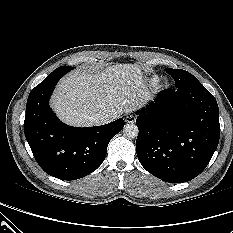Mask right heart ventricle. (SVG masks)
<instances>
[{
	"instance_id": "obj_1",
	"label": "right heart ventricle",
	"mask_w": 233,
	"mask_h": 233,
	"mask_svg": "<svg viewBox=\"0 0 233 233\" xmlns=\"http://www.w3.org/2000/svg\"><path fill=\"white\" fill-rule=\"evenodd\" d=\"M150 82H151L152 85H155V84L158 82V76H156V75L153 76V77L151 78V81H150Z\"/></svg>"
}]
</instances>
